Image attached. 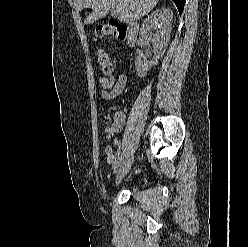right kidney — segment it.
I'll return each mask as SVG.
<instances>
[{"label": "right kidney", "mask_w": 248, "mask_h": 247, "mask_svg": "<svg viewBox=\"0 0 248 247\" xmlns=\"http://www.w3.org/2000/svg\"><path fill=\"white\" fill-rule=\"evenodd\" d=\"M173 13L168 8H161L153 11L143 22L139 39L142 42H151L154 58L147 61L142 56H137L135 66L139 77H145L149 69L156 65L168 46L172 29Z\"/></svg>", "instance_id": "obj_1"}]
</instances>
